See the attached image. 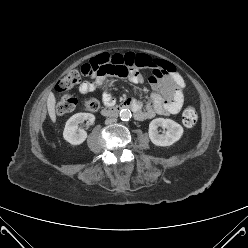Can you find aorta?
I'll use <instances>...</instances> for the list:
<instances>
[{
    "label": "aorta",
    "instance_id": "obj_1",
    "mask_svg": "<svg viewBox=\"0 0 248 248\" xmlns=\"http://www.w3.org/2000/svg\"><path fill=\"white\" fill-rule=\"evenodd\" d=\"M119 116L122 121H128L131 118L132 114L131 111L128 109H122L119 113Z\"/></svg>",
    "mask_w": 248,
    "mask_h": 248
}]
</instances>
